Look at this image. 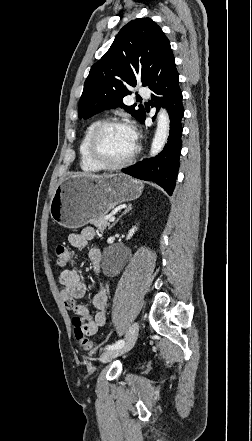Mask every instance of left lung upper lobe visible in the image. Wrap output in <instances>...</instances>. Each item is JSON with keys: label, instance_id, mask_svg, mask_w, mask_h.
<instances>
[{"label": "left lung upper lobe", "instance_id": "1", "mask_svg": "<svg viewBox=\"0 0 252 441\" xmlns=\"http://www.w3.org/2000/svg\"><path fill=\"white\" fill-rule=\"evenodd\" d=\"M169 43L161 28L150 18L126 24L105 55L96 62L84 83L79 101V118L88 119L105 109L121 106L141 121L145 110L126 106L123 97L131 94L137 80L148 86L157 68L163 47Z\"/></svg>", "mask_w": 252, "mask_h": 441}]
</instances>
